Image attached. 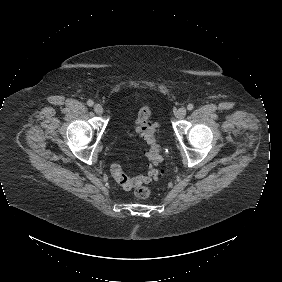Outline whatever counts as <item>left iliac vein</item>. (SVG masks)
Instances as JSON below:
<instances>
[{"mask_svg": "<svg viewBox=\"0 0 282 282\" xmlns=\"http://www.w3.org/2000/svg\"><path fill=\"white\" fill-rule=\"evenodd\" d=\"M186 113H187L186 108H185V107H181V108H179V109L176 111L175 116H176V118H177L178 120H181V119H183V118L186 116Z\"/></svg>", "mask_w": 282, "mask_h": 282, "instance_id": "1", "label": "left iliac vein"}]
</instances>
